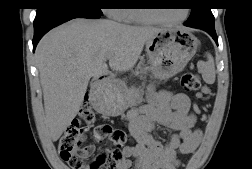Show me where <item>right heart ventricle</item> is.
Masks as SVG:
<instances>
[{
	"label": "right heart ventricle",
	"mask_w": 252,
	"mask_h": 169,
	"mask_svg": "<svg viewBox=\"0 0 252 169\" xmlns=\"http://www.w3.org/2000/svg\"><path fill=\"white\" fill-rule=\"evenodd\" d=\"M121 20L125 23L142 24L145 21L138 15L137 10L133 8L123 9L121 12Z\"/></svg>",
	"instance_id": "right-heart-ventricle-1"
}]
</instances>
